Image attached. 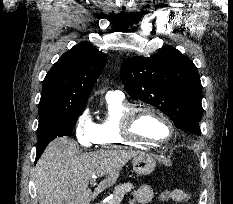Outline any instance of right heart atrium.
I'll return each mask as SVG.
<instances>
[{
  "mask_svg": "<svg viewBox=\"0 0 233 204\" xmlns=\"http://www.w3.org/2000/svg\"><path fill=\"white\" fill-rule=\"evenodd\" d=\"M74 131L80 145L88 148L97 144L95 123L88 109H84L77 117Z\"/></svg>",
  "mask_w": 233,
  "mask_h": 204,
  "instance_id": "d8ad5b80",
  "label": "right heart atrium"
}]
</instances>
